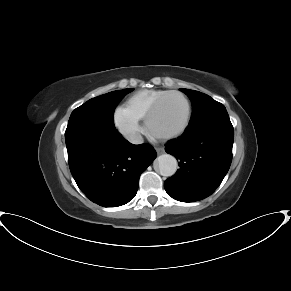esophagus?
Returning a JSON list of instances; mask_svg holds the SVG:
<instances>
[{
	"instance_id": "1",
	"label": "esophagus",
	"mask_w": 291,
	"mask_h": 291,
	"mask_svg": "<svg viewBox=\"0 0 291 291\" xmlns=\"http://www.w3.org/2000/svg\"><path fill=\"white\" fill-rule=\"evenodd\" d=\"M155 150L158 154H162L165 151L164 148H162V147H156Z\"/></svg>"
}]
</instances>
